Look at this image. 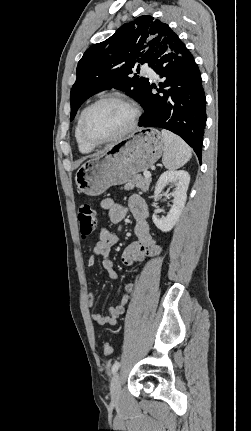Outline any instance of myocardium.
<instances>
[{
    "instance_id": "myocardium-1",
    "label": "myocardium",
    "mask_w": 251,
    "mask_h": 431,
    "mask_svg": "<svg viewBox=\"0 0 251 431\" xmlns=\"http://www.w3.org/2000/svg\"><path fill=\"white\" fill-rule=\"evenodd\" d=\"M108 101L119 102V103L124 104L127 107H129L131 110V113H132L130 122L127 125V127L124 130H122L121 132H119L118 134H116L112 137L103 139V140H94V139L90 138L87 134V131H86L87 119H88L90 113L98 105H100L104 102H108ZM139 117H140L139 106L133 100H131V99H129L123 95H119V94L104 95V96L100 97L99 99L95 100L93 103H91L83 112L82 117H81V121H80L81 137L88 145L93 146V147L101 146L104 144H108V143L120 140V139L124 138L125 136H127L128 134H130L135 129L136 124L139 120Z\"/></svg>"
}]
</instances>
